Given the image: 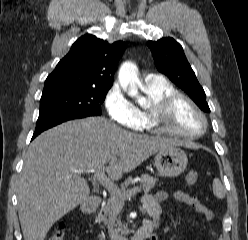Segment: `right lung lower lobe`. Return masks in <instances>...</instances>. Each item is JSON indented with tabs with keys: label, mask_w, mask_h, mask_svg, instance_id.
I'll return each mask as SVG.
<instances>
[{
	"label": "right lung lower lobe",
	"mask_w": 248,
	"mask_h": 240,
	"mask_svg": "<svg viewBox=\"0 0 248 240\" xmlns=\"http://www.w3.org/2000/svg\"><path fill=\"white\" fill-rule=\"evenodd\" d=\"M75 118H55V117H50V118H42L37 120V125L35 132L33 134L32 139H34L36 136H38L41 132L56 126L62 122H65L67 120H71Z\"/></svg>",
	"instance_id": "right-lung-lower-lobe-1"
}]
</instances>
